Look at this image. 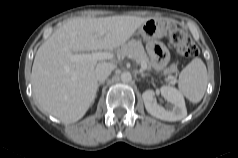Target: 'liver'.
<instances>
[{
  "mask_svg": "<svg viewBox=\"0 0 238 158\" xmlns=\"http://www.w3.org/2000/svg\"><path fill=\"white\" fill-rule=\"evenodd\" d=\"M148 19L112 16L65 21L39 47L34 58L31 81L40 109L66 124L80 120L96 97L98 60L73 62L68 51L77 54L120 47Z\"/></svg>",
  "mask_w": 238,
  "mask_h": 158,
  "instance_id": "6515ba94",
  "label": "liver"
}]
</instances>
